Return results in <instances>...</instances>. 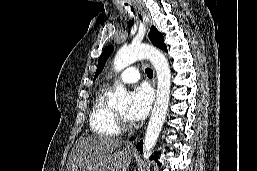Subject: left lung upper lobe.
<instances>
[{
    "label": "left lung upper lobe",
    "mask_w": 257,
    "mask_h": 171,
    "mask_svg": "<svg viewBox=\"0 0 257 171\" xmlns=\"http://www.w3.org/2000/svg\"><path fill=\"white\" fill-rule=\"evenodd\" d=\"M149 37H150L151 42L154 45H156L160 49H163V50L167 51L166 45L164 44L163 35L154 26H152L151 29H150ZM112 50H113V46H111V45L106 47L103 50V52L100 55L99 60H98V66H97V70H96V73H95V76H94V80L97 78V76L103 70V68L105 66V62L107 61L108 57L110 56Z\"/></svg>",
    "instance_id": "1"
}]
</instances>
